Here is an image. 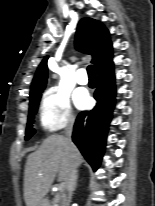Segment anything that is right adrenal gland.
I'll return each mask as SVG.
<instances>
[{"instance_id": "2a0ac1e0", "label": "right adrenal gland", "mask_w": 155, "mask_h": 206, "mask_svg": "<svg viewBox=\"0 0 155 206\" xmlns=\"http://www.w3.org/2000/svg\"><path fill=\"white\" fill-rule=\"evenodd\" d=\"M77 179H78V175L76 177L75 188L77 187Z\"/></svg>"}]
</instances>
